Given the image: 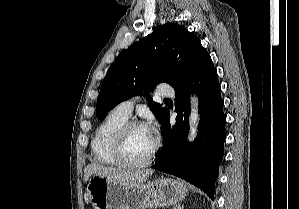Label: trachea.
Instances as JSON below:
<instances>
[{
  "instance_id": "3493384b",
  "label": "trachea",
  "mask_w": 299,
  "mask_h": 209,
  "mask_svg": "<svg viewBox=\"0 0 299 209\" xmlns=\"http://www.w3.org/2000/svg\"><path fill=\"white\" fill-rule=\"evenodd\" d=\"M164 101H171L170 99H164Z\"/></svg>"
}]
</instances>
